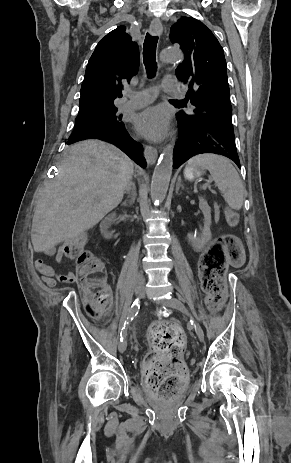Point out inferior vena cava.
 I'll return each mask as SVG.
<instances>
[{"label":"inferior vena cava","instance_id":"602c4592","mask_svg":"<svg viewBox=\"0 0 291 463\" xmlns=\"http://www.w3.org/2000/svg\"><path fill=\"white\" fill-rule=\"evenodd\" d=\"M132 187L134 189V183L132 181H129V183L127 185V191H129Z\"/></svg>","mask_w":291,"mask_h":463}]
</instances>
